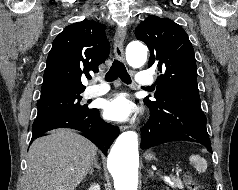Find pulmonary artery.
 Masks as SVG:
<instances>
[{
	"mask_svg": "<svg viewBox=\"0 0 238 190\" xmlns=\"http://www.w3.org/2000/svg\"><path fill=\"white\" fill-rule=\"evenodd\" d=\"M136 82L140 86L146 87V86H151L154 83V79H153V76L149 72L142 71L138 73ZM108 91H109V86L103 83L100 85L88 87L84 92V96L86 98L97 97V96L106 94Z\"/></svg>",
	"mask_w": 238,
	"mask_h": 190,
	"instance_id": "1",
	"label": "pulmonary artery"
}]
</instances>
